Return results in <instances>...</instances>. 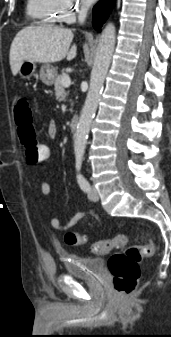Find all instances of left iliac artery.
Here are the masks:
<instances>
[{
  "instance_id": "obj_1",
  "label": "left iliac artery",
  "mask_w": 171,
  "mask_h": 337,
  "mask_svg": "<svg viewBox=\"0 0 171 337\" xmlns=\"http://www.w3.org/2000/svg\"><path fill=\"white\" fill-rule=\"evenodd\" d=\"M82 161H83V157L82 156H77L76 157V169H77V181L78 184L80 186V188L84 191V192H88L90 190V185L89 182L87 181V179L80 173L81 170V166H82Z\"/></svg>"
}]
</instances>
